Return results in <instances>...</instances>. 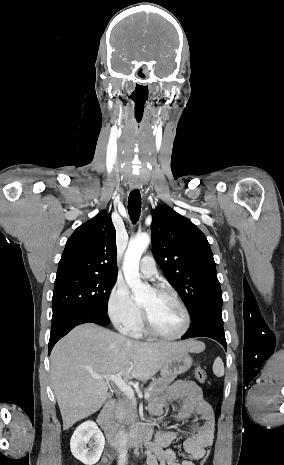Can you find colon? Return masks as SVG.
Wrapping results in <instances>:
<instances>
[{
  "label": "colon",
  "mask_w": 284,
  "mask_h": 465,
  "mask_svg": "<svg viewBox=\"0 0 284 465\" xmlns=\"http://www.w3.org/2000/svg\"><path fill=\"white\" fill-rule=\"evenodd\" d=\"M195 378L199 382H205L207 381V374L202 368H197L194 372ZM207 453H205V462H200V465H207V462L209 461V458H211L212 454V449L210 445L206 446Z\"/></svg>",
  "instance_id": "5ec220e1"
}]
</instances>
